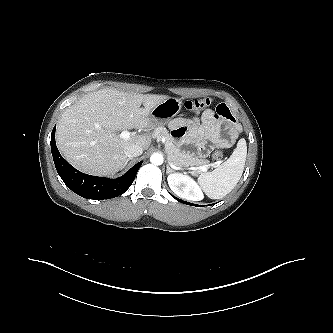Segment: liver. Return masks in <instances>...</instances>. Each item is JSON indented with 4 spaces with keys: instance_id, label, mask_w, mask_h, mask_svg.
Returning <instances> with one entry per match:
<instances>
[{
    "instance_id": "liver-1",
    "label": "liver",
    "mask_w": 333,
    "mask_h": 333,
    "mask_svg": "<svg viewBox=\"0 0 333 333\" xmlns=\"http://www.w3.org/2000/svg\"><path fill=\"white\" fill-rule=\"evenodd\" d=\"M166 95L138 94L102 89L84 95L62 114L56 128L57 146L78 170L100 176L114 175L126 162L125 148H148L150 138L139 135L123 139L122 130L150 131V111ZM143 104L144 108H140Z\"/></svg>"
}]
</instances>
